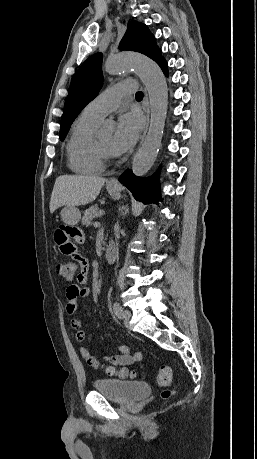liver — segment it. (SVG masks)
<instances>
[{"label":"liver","mask_w":257,"mask_h":459,"mask_svg":"<svg viewBox=\"0 0 257 459\" xmlns=\"http://www.w3.org/2000/svg\"><path fill=\"white\" fill-rule=\"evenodd\" d=\"M106 179L92 175H62L54 184L50 212L61 206H80L93 202Z\"/></svg>","instance_id":"obj_1"}]
</instances>
